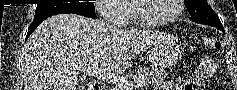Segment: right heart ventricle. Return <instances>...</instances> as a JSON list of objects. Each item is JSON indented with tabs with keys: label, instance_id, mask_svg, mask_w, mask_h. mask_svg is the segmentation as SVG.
Returning a JSON list of instances; mask_svg holds the SVG:
<instances>
[{
	"label": "right heart ventricle",
	"instance_id": "obj_1",
	"mask_svg": "<svg viewBox=\"0 0 237 90\" xmlns=\"http://www.w3.org/2000/svg\"><path fill=\"white\" fill-rule=\"evenodd\" d=\"M119 11H124V7H119ZM121 28H137V26L136 25H128V26H124Z\"/></svg>",
	"mask_w": 237,
	"mask_h": 90
}]
</instances>
